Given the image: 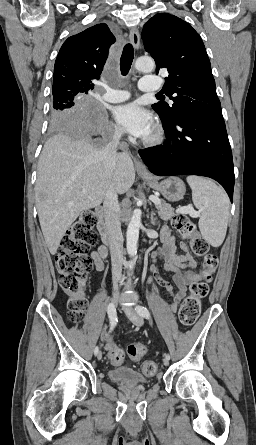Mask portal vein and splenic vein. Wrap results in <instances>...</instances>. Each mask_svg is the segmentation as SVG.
<instances>
[{"label": "portal vein and splenic vein", "mask_w": 256, "mask_h": 445, "mask_svg": "<svg viewBox=\"0 0 256 445\" xmlns=\"http://www.w3.org/2000/svg\"><path fill=\"white\" fill-rule=\"evenodd\" d=\"M82 192L86 193L87 191L83 190ZM150 200H152L155 204H161L160 199L155 197V196H151ZM176 212L177 213H183V214H190L192 216H197L198 215V212H196L192 206L183 207L181 209H178Z\"/></svg>", "instance_id": "18ae733b"}]
</instances>
